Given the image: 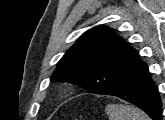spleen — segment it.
I'll use <instances>...</instances> for the list:
<instances>
[{
    "label": "spleen",
    "mask_w": 165,
    "mask_h": 120,
    "mask_svg": "<svg viewBox=\"0 0 165 120\" xmlns=\"http://www.w3.org/2000/svg\"><path fill=\"white\" fill-rule=\"evenodd\" d=\"M105 112L109 120H150L143 111L131 105L108 104Z\"/></svg>",
    "instance_id": "spleen-1"
}]
</instances>
